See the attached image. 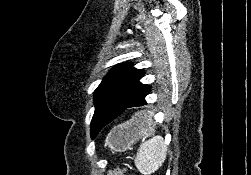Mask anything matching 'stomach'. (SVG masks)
Returning a JSON list of instances; mask_svg holds the SVG:
<instances>
[{
    "label": "stomach",
    "instance_id": "obj_1",
    "mask_svg": "<svg viewBox=\"0 0 251 175\" xmlns=\"http://www.w3.org/2000/svg\"><path fill=\"white\" fill-rule=\"evenodd\" d=\"M158 122V119H155ZM150 114L133 115L132 119L114 125L106 135L105 143L112 151H126L138 139H145L154 133ZM158 127V124H155Z\"/></svg>",
    "mask_w": 251,
    "mask_h": 175
}]
</instances>
